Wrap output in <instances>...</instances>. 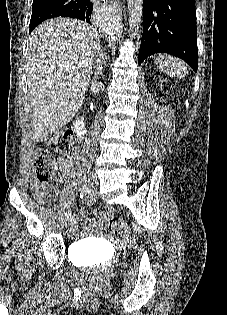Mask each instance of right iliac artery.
Here are the masks:
<instances>
[{"label": "right iliac artery", "mask_w": 227, "mask_h": 315, "mask_svg": "<svg viewBox=\"0 0 227 315\" xmlns=\"http://www.w3.org/2000/svg\"><path fill=\"white\" fill-rule=\"evenodd\" d=\"M90 192V189H89V186L87 185H84L83 188L81 189V192H80V197L83 198L86 194H88ZM72 212L71 210H69L67 213H66V216L69 217L71 216Z\"/></svg>", "instance_id": "1"}]
</instances>
